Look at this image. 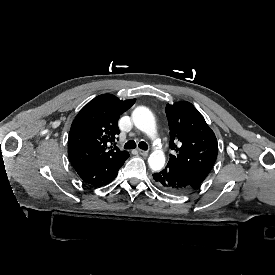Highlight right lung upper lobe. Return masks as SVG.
Instances as JSON below:
<instances>
[{"label":"right lung upper lobe","mask_w":275,"mask_h":275,"mask_svg":"<svg viewBox=\"0 0 275 275\" xmlns=\"http://www.w3.org/2000/svg\"><path fill=\"white\" fill-rule=\"evenodd\" d=\"M135 99L121 101L102 94L85 105L75 117L68 138V155L74 169L104 160H120L128 155L110 146L119 134L118 118Z\"/></svg>","instance_id":"1"}]
</instances>
